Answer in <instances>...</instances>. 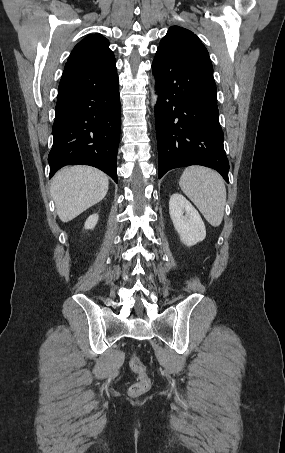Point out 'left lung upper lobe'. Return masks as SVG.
Segmentation results:
<instances>
[{"label":"left lung upper lobe","mask_w":285,"mask_h":453,"mask_svg":"<svg viewBox=\"0 0 285 453\" xmlns=\"http://www.w3.org/2000/svg\"><path fill=\"white\" fill-rule=\"evenodd\" d=\"M159 51L181 58L213 75V67L207 49L190 30L172 26L163 37Z\"/></svg>","instance_id":"5c2ea615"}]
</instances>
